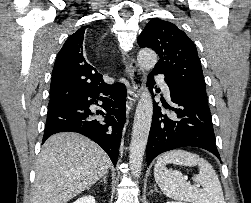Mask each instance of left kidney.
<instances>
[{
	"label": "left kidney",
	"instance_id": "obj_1",
	"mask_svg": "<svg viewBox=\"0 0 251 203\" xmlns=\"http://www.w3.org/2000/svg\"><path fill=\"white\" fill-rule=\"evenodd\" d=\"M166 203H183V202H176V201H168Z\"/></svg>",
	"mask_w": 251,
	"mask_h": 203
}]
</instances>
